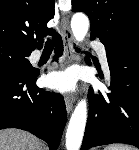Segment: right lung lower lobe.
Listing matches in <instances>:
<instances>
[{
    "label": "right lung lower lobe",
    "instance_id": "obj_1",
    "mask_svg": "<svg viewBox=\"0 0 139 150\" xmlns=\"http://www.w3.org/2000/svg\"><path fill=\"white\" fill-rule=\"evenodd\" d=\"M54 35L55 57L63 52L61 37ZM38 72L0 65V129L19 128L46 141L56 150L67 120L60 94L36 86Z\"/></svg>",
    "mask_w": 139,
    "mask_h": 150
}]
</instances>
